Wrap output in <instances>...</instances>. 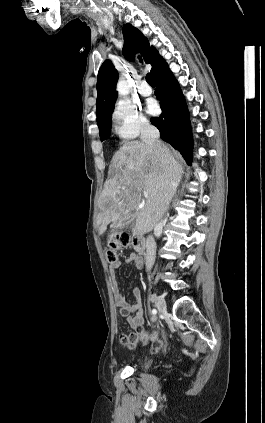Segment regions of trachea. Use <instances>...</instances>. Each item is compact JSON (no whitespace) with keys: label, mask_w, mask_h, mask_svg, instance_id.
<instances>
[{"label":"trachea","mask_w":265,"mask_h":423,"mask_svg":"<svg viewBox=\"0 0 265 423\" xmlns=\"http://www.w3.org/2000/svg\"><path fill=\"white\" fill-rule=\"evenodd\" d=\"M139 59H140V61H142L141 60V58L139 57ZM146 81H147V83L149 84V85H155V83L153 82V80H152V78H151V75L148 73L147 75H146Z\"/></svg>","instance_id":"trachea-1"}]
</instances>
